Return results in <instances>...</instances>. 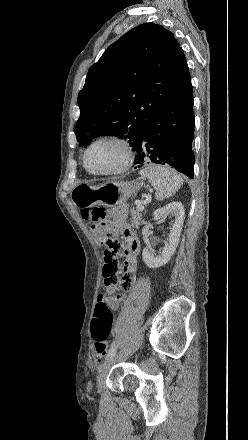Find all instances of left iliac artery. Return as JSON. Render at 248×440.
Segmentation results:
<instances>
[{
    "label": "left iliac artery",
    "instance_id": "1",
    "mask_svg": "<svg viewBox=\"0 0 248 440\" xmlns=\"http://www.w3.org/2000/svg\"><path fill=\"white\" fill-rule=\"evenodd\" d=\"M115 353H116V345H115V342L113 341V343L111 344V347L108 351L107 358L112 357Z\"/></svg>",
    "mask_w": 248,
    "mask_h": 440
}]
</instances>
